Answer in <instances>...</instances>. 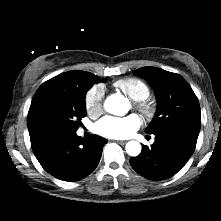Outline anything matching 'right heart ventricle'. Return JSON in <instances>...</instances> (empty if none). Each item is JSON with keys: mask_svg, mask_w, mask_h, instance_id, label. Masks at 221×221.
I'll return each mask as SVG.
<instances>
[{"mask_svg": "<svg viewBox=\"0 0 221 221\" xmlns=\"http://www.w3.org/2000/svg\"><path fill=\"white\" fill-rule=\"evenodd\" d=\"M114 87L135 101L146 100L150 95L149 86L134 77L118 80L114 83Z\"/></svg>", "mask_w": 221, "mask_h": 221, "instance_id": "e07e8e85", "label": "right heart ventricle"}]
</instances>
